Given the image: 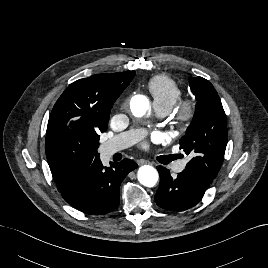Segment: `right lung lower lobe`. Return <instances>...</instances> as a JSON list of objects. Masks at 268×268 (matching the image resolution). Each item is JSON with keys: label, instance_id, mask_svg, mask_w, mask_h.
<instances>
[{"label": "right lung lower lobe", "instance_id": "right-lung-lower-lobe-1", "mask_svg": "<svg viewBox=\"0 0 268 268\" xmlns=\"http://www.w3.org/2000/svg\"><path fill=\"white\" fill-rule=\"evenodd\" d=\"M110 165L104 167L100 159L93 162L64 199L77 210L91 215H102L116 209L120 201V184L138 165L130 159L111 162Z\"/></svg>", "mask_w": 268, "mask_h": 268}]
</instances>
